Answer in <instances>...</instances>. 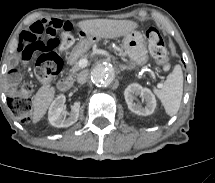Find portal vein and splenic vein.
I'll return each instance as SVG.
<instances>
[{"mask_svg":"<svg viewBox=\"0 0 215 183\" xmlns=\"http://www.w3.org/2000/svg\"><path fill=\"white\" fill-rule=\"evenodd\" d=\"M87 64H88V60L86 58L81 59L78 63L80 68H85Z\"/></svg>","mask_w":215,"mask_h":183,"instance_id":"portal-vein-and-splenic-vein-1","label":"portal vein and splenic vein"}]
</instances>
